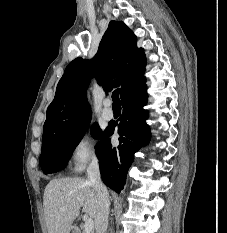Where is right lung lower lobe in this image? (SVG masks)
I'll return each instance as SVG.
<instances>
[{"label": "right lung lower lobe", "instance_id": "1", "mask_svg": "<svg viewBox=\"0 0 227 233\" xmlns=\"http://www.w3.org/2000/svg\"><path fill=\"white\" fill-rule=\"evenodd\" d=\"M147 98V88L144 86L123 99L120 123L105 130L96 149L103 182L117 193H120L126 182L134 153L146 145L150 139L149 127L145 122L148 113L142 108L147 104ZM115 126L120 135V144L117 148H112L109 137L113 134Z\"/></svg>", "mask_w": 227, "mask_h": 233}]
</instances>
